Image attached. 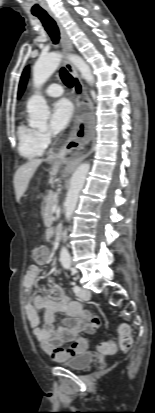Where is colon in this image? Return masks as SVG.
Segmentation results:
<instances>
[{
	"instance_id": "obj_1",
	"label": "colon",
	"mask_w": 155,
	"mask_h": 413,
	"mask_svg": "<svg viewBox=\"0 0 155 413\" xmlns=\"http://www.w3.org/2000/svg\"><path fill=\"white\" fill-rule=\"evenodd\" d=\"M32 257L36 262L44 263L48 258V252L43 247H37L33 250ZM119 335H120V341H119L120 348L122 350H129L133 344V337H132L130 328L127 324H121L119 326ZM76 346H77L76 344H73L72 346L66 349H62L54 345H47L46 351L53 357V359L59 360L62 353L72 352L74 351ZM99 349L102 353H106V354L113 353L116 350L113 342L102 343L100 344Z\"/></svg>"
}]
</instances>
